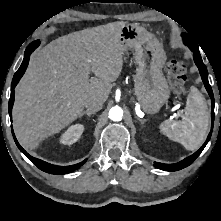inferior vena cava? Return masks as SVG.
<instances>
[{
    "label": "inferior vena cava",
    "instance_id": "602c4592",
    "mask_svg": "<svg viewBox=\"0 0 221 221\" xmlns=\"http://www.w3.org/2000/svg\"><path fill=\"white\" fill-rule=\"evenodd\" d=\"M104 101L98 97H91L86 100L85 102V107L89 111H98L102 108Z\"/></svg>",
    "mask_w": 221,
    "mask_h": 221
}]
</instances>
